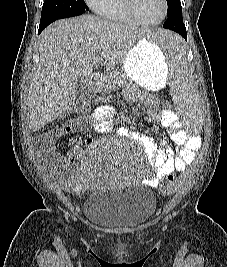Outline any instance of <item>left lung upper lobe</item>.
<instances>
[{"instance_id":"obj_1","label":"left lung upper lobe","mask_w":227,"mask_h":267,"mask_svg":"<svg viewBox=\"0 0 227 267\" xmlns=\"http://www.w3.org/2000/svg\"><path fill=\"white\" fill-rule=\"evenodd\" d=\"M167 5H168L167 17L173 13L182 10L180 0H167Z\"/></svg>"}]
</instances>
